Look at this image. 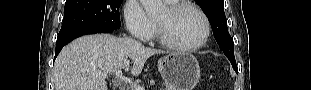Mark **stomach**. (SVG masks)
I'll list each match as a JSON object with an SVG mask.
<instances>
[{
  "instance_id": "obj_1",
  "label": "stomach",
  "mask_w": 311,
  "mask_h": 90,
  "mask_svg": "<svg viewBox=\"0 0 311 90\" xmlns=\"http://www.w3.org/2000/svg\"><path fill=\"white\" fill-rule=\"evenodd\" d=\"M158 69L173 90H193L200 79L197 59L189 53L172 52L158 60Z\"/></svg>"
}]
</instances>
